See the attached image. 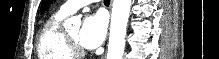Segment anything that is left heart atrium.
Segmentation results:
<instances>
[{
    "mask_svg": "<svg viewBox=\"0 0 219 59\" xmlns=\"http://www.w3.org/2000/svg\"><path fill=\"white\" fill-rule=\"evenodd\" d=\"M106 29L107 21L101 13L88 15L79 33L80 44L88 49L98 47L104 41Z\"/></svg>",
    "mask_w": 219,
    "mask_h": 59,
    "instance_id": "left-heart-atrium-1",
    "label": "left heart atrium"
}]
</instances>
